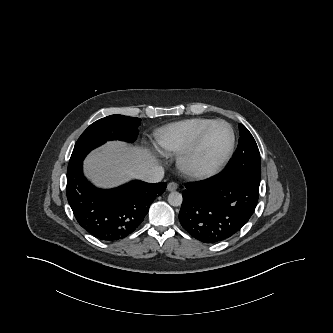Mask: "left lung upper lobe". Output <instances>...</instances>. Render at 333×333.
<instances>
[{
  "mask_svg": "<svg viewBox=\"0 0 333 333\" xmlns=\"http://www.w3.org/2000/svg\"><path fill=\"white\" fill-rule=\"evenodd\" d=\"M239 145L233 159L223 173H233L247 178L259 185L261 178L260 153L248 129L239 124Z\"/></svg>",
  "mask_w": 333,
  "mask_h": 333,
  "instance_id": "1",
  "label": "left lung upper lobe"
}]
</instances>
